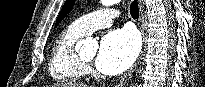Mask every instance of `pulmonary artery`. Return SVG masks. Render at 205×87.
I'll return each mask as SVG.
<instances>
[{
	"label": "pulmonary artery",
	"instance_id": "1",
	"mask_svg": "<svg viewBox=\"0 0 205 87\" xmlns=\"http://www.w3.org/2000/svg\"><path fill=\"white\" fill-rule=\"evenodd\" d=\"M118 12L115 9L104 8L91 13H88L72 23V27L78 32L88 35L97 29L109 27Z\"/></svg>",
	"mask_w": 205,
	"mask_h": 87
}]
</instances>
